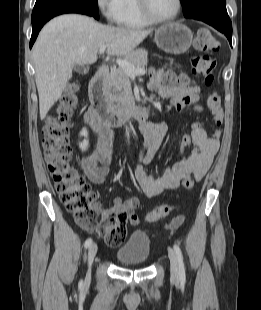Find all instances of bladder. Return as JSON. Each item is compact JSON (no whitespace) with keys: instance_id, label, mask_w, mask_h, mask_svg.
Returning <instances> with one entry per match:
<instances>
[{"instance_id":"1","label":"bladder","mask_w":261,"mask_h":310,"mask_svg":"<svg viewBox=\"0 0 261 310\" xmlns=\"http://www.w3.org/2000/svg\"><path fill=\"white\" fill-rule=\"evenodd\" d=\"M151 252L149 236L143 231H134L128 240L116 252V259L128 265L144 264L149 260Z\"/></svg>"}]
</instances>
